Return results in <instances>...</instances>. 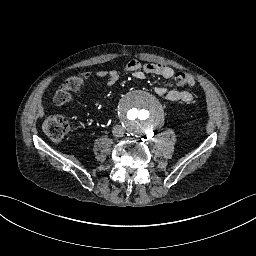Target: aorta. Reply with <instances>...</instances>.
Returning <instances> with one entry per match:
<instances>
[{
	"label": "aorta",
	"instance_id": "aorta-1",
	"mask_svg": "<svg viewBox=\"0 0 256 256\" xmlns=\"http://www.w3.org/2000/svg\"><path fill=\"white\" fill-rule=\"evenodd\" d=\"M119 117L128 130L135 133H145L158 124L161 108L152 95L145 92H135L122 101Z\"/></svg>",
	"mask_w": 256,
	"mask_h": 256
}]
</instances>
